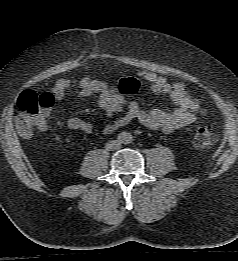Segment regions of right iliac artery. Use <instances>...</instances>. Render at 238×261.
I'll list each match as a JSON object with an SVG mask.
<instances>
[{"label": "right iliac artery", "instance_id": "82829eb1", "mask_svg": "<svg viewBox=\"0 0 238 261\" xmlns=\"http://www.w3.org/2000/svg\"><path fill=\"white\" fill-rule=\"evenodd\" d=\"M124 140H125V135L123 133H121L117 136L118 142L122 143V142H124Z\"/></svg>", "mask_w": 238, "mask_h": 261}]
</instances>
